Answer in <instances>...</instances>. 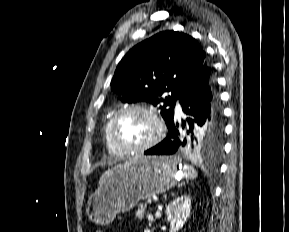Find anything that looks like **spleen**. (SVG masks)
Returning <instances> with one entry per match:
<instances>
[{
  "label": "spleen",
  "instance_id": "obj_1",
  "mask_svg": "<svg viewBox=\"0 0 289 232\" xmlns=\"http://www.w3.org/2000/svg\"><path fill=\"white\" fill-rule=\"evenodd\" d=\"M183 176L185 178L194 179L197 176V173H196L195 169L192 166H186V167H184Z\"/></svg>",
  "mask_w": 289,
  "mask_h": 232
}]
</instances>
